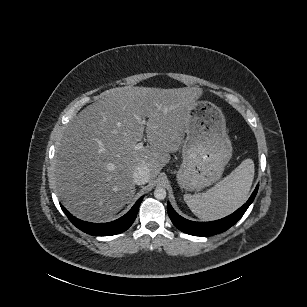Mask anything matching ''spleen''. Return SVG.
Instances as JSON below:
<instances>
[{
    "mask_svg": "<svg viewBox=\"0 0 307 307\" xmlns=\"http://www.w3.org/2000/svg\"><path fill=\"white\" fill-rule=\"evenodd\" d=\"M254 175L255 164L250 157L207 192L185 194L184 200L198 218L204 221L222 219L247 201Z\"/></svg>",
    "mask_w": 307,
    "mask_h": 307,
    "instance_id": "1",
    "label": "spleen"
}]
</instances>
